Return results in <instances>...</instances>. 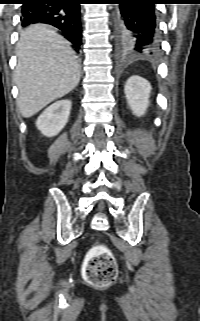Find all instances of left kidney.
Returning <instances> with one entry per match:
<instances>
[{
	"instance_id": "left-kidney-1",
	"label": "left kidney",
	"mask_w": 200,
	"mask_h": 321,
	"mask_svg": "<svg viewBox=\"0 0 200 321\" xmlns=\"http://www.w3.org/2000/svg\"><path fill=\"white\" fill-rule=\"evenodd\" d=\"M151 89L150 83L138 75H133L126 81L124 92L134 115L140 117L146 113Z\"/></svg>"
}]
</instances>
